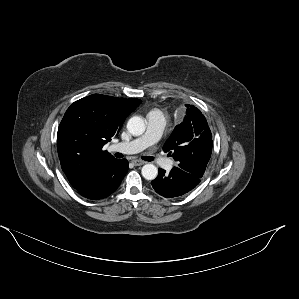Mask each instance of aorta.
Segmentation results:
<instances>
[{"label":"aorta","mask_w":299,"mask_h":299,"mask_svg":"<svg viewBox=\"0 0 299 299\" xmlns=\"http://www.w3.org/2000/svg\"><path fill=\"white\" fill-rule=\"evenodd\" d=\"M127 129L134 136L142 135L146 129V121L142 117L133 116L127 123ZM141 173L146 180H154L158 175V168L153 164H145Z\"/></svg>","instance_id":"762f6f07"}]
</instances>
